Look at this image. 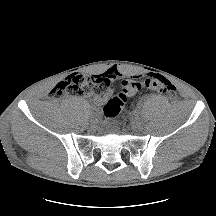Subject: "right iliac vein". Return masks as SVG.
I'll return each instance as SVG.
<instances>
[{
	"label": "right iliac vein",
	"mask_w": 216,
	"mask_h": 216,
	"mask_svg": "<svg viewBox=\"0 0 216 216\" xmlns=\"http://www.w3.org/2000/svg\"><path fill=\"white\" fill-rule=\"evenodd\" d=\"M90 120H91V122H94L95 121V117L94 116L90 117Z\"/></svg>",
	"instance_id": "1"
}]
</instances>
